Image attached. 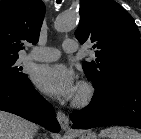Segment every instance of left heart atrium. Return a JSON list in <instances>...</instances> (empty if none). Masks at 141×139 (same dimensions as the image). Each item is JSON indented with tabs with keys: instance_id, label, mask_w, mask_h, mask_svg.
Segmentation results:
<instances>
[{
	"instance_id": "obj_1",
	"label": "left heart atrium",
	"mask_w": 141,
	"mask_h": 139,
	"mask_svg": "<svg viewBox=\"0 0 141 139\" xmlns=\"http://www.w3.org/2000/svg\"><path fill=\"white\" fill-rule=\"evenodd\" d=\"M33 80L42 92L54 98L70 99L77 91L74 73L63 64L37 67Z\"/></svg>"
}]
</instances>
